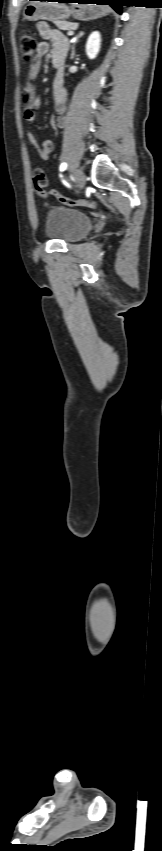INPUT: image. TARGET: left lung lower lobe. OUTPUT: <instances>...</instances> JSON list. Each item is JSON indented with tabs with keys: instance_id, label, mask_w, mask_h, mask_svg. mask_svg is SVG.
Instances as JSON below:
<instances>
[{
	"instance_id": "1",
	"label": "left lung lower lobe",
	"mask_w": 162,
	"mask_h": 851,
	"mask_svg": "<svg viewBox=\"0 0 162 851\" xmlns=\"http://www.w3.org/2000/svg\"><path fill=\"white\" fill-rule=\"evenodd\" d=\"M46 1V0H43ZM59 2H68L69 0H58ZM83 3H96L98 5H110L113 7L118 13L121 12V6L125 5V0H82Z\"/></svg>"
}]
</instances>
